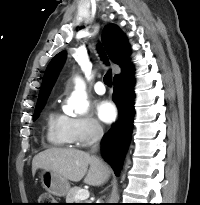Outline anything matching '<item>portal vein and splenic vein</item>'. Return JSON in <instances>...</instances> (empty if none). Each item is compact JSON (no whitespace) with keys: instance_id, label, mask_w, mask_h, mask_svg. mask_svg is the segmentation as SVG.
<instances>
[{"instance_id":"portal-vein-and-splenic-vein-1","label":"portal vein and splenic vein","mask_w":200,"mask_h":205,"mask_svg":"<svg viewBox=\"0 0 200 205\" xmlns=\"http://www.w3.org/2000/svg\"><path fill=\"white\" fill-rule=\"evenodd\" d=\"M89 195L90 193L88 190L80 189L75 195V199L76 200H86L89 198Z\"/></svg>"}]
</instances>
